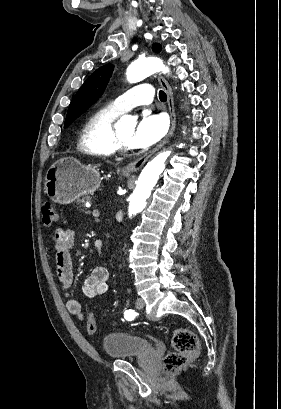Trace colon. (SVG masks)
<instances>
[{
  "label": "colon",
  "instance_id": "1",
  "mask_svg": "<svg viewBox=\"0 0 281 409\" xmlns=\"http://www.w3.org/2000/svg\"><path fill=\"white\" fill-rule=\"evenodd\" d=\"M42 220L44 225H51L59 220V209L52 201L42 204ZM95 324L88 323V332L94 333ZM174 352L169 353L164 359V367L168 370H179L198 354V339L196 334L189 329H177L171 337Z\"/></svg>",
  "mask_w": 281,
  "mask_h": 409
}]
</instances>
